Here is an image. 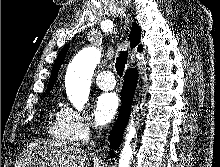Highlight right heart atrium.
Segmentation results:
<instances>
[{
    "instance_id": "1",
    "label": "right heart atrium",
    "mask_w": 220,
    "mask_h": 167,
    "mask_svg": "<svg viewBox=\"0 0 220 167\" xmlns=\"http://www.w3.org/2000/svg\"><path fill=\"white\" fill-rule=\"evenodd\" d=\"M61 115L66 128L74 142L86 141L91 132L96 128L91 118L74 108L65 107L61 110Z\"/></svg>"
}]
</instances>
